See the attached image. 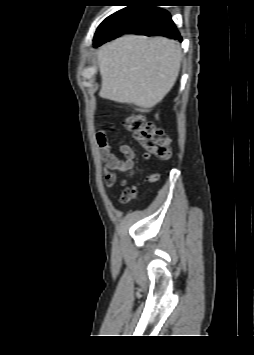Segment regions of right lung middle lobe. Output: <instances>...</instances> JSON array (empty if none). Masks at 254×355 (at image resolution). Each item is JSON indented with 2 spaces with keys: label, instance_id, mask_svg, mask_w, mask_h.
<instances>
[{
  "label": "right lung middle lobe",
  "instance_id": "1",
  "mask_svg": "<svg viewBox=\"0 0 254 355\" xmlns=\"http://www.w3.org/2000/svg\"><path fill=\"white\" fill-rule=\"evenodd\" d=\"M110 18V16L108 18H106L98 27L95 36H94V40L99 36V34L101 33L102 29L104 28L105 24L107 23L108 19Z\"/></svg>",
  "mask_w": 254,
  "mask_h": 355
}]
</instances>
